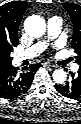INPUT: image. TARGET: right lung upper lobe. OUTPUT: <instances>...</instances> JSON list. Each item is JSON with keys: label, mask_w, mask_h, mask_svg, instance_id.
<instances>
[{"label": "right lung upper lobe", "mask_w": 81, "mask_h": 124, "mask_svg": "<svg viewBox=\"0 0 81 124\" xmlns=\"http://www.w3.org/2000/svg\"><path fill=\"white\" fill-rule=\"evenodd\" d=\"M29 6L25 1H12L0 6V69L11 65L10 53L18 45V29Z\"/></svg>", "instance_id": "right-lung-upper-lobe-1"}]
</instances>
